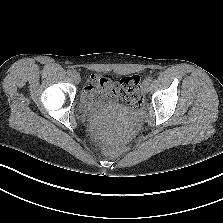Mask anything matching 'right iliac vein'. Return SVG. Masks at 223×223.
I'll list each match as a JSON object with an SVG mask.
<instances>
[{"instance_id": "63e3f726", "label": "right iliac vein", "mask_w": 223, "mask_h": 223, "mask_svg": "<svg viewBox=\"0 0 223 223\" xmlns=\"http://www.w3.org/2000/svg\"><path fill=\"white\" fill-rule=\"evenodd\" d=\"M72 78L73 80L76 82V83H79L80 82V75L77 73V72H74L72 74Z\"/></svg>"}]
</instances>
